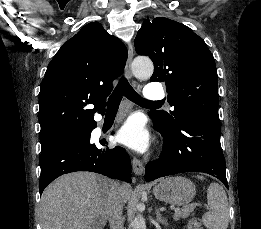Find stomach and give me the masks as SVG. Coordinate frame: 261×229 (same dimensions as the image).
<instances>
[{
  "mask_svg": "<svg viewBox=\"0 0 261 229\" xmlns=\"http://www.w3.org/2000/svg\"><path fill=\"white\" fill-rule=\"evenodd\" d=\"M155 199L169 205H187L196 195V187L185 177L161 179L153 189Z\"/></svg>",
  "mask_w": 261,
  "mask_h": 229,
  "instance_id": "0dacf381",
  "label": "stomach"
}]
</instances>
